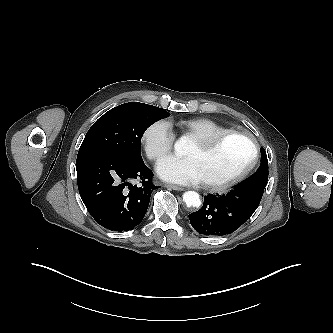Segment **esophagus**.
I'll list each match as a JSON object with an SVG mask.
<instances>
[{"mask_svg": "<svg viewBox=\"0 0 333 333\" xmlns=\"http://www.w3.org/2000/svg\"><path fill=\"white\" fill-rule=\"evenodd\" d=\"M164 187L169 188V189H173V190H177V191H183L184 188L177 186V185H172V184H165Z\"/></svg>", "mask_w": 333, "mask_h": 333, "instance_id": "esophagus-1", "label": "esophagus"}]
</instances>
